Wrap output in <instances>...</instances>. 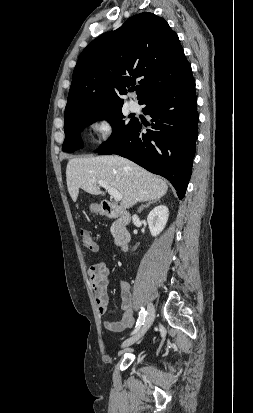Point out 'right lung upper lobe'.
Returning <instances> with one entry per match:
<instances>
[{
  "instance_id": "obj_1",
  "label": "right lung upper lobe",
  "mask_w": 253,
  "mask_h": 413,
  "mask_svg": "<svg viewBox=\"0 0 253 413\" xmlns=\"http://www.w3.org/2000/svg\"><path fill=\"white\" fill-rule=\"evenodd\" d=\"M191 66L177 34L153 13L130 17L120 28L93 40L79 55L64 118L122 107L120 95L137 78L139 103L181 81Z\"/></svg>"
}]
</instances>
